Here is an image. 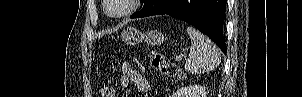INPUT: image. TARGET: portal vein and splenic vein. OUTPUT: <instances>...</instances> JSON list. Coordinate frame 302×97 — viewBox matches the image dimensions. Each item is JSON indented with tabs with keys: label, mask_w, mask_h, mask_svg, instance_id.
Instances as JSON below:
<instances>
[{
	"label": "portal vein and splenic vein",
	"mask_w": 302,
	"mask_h": 97,
	"mask_svg": "<svg viewBox=\"0 0 302 97\" xmlns=\"http://www.w3.org/2000/svg\"><path fill=\"white\" fill-rule=\"evenodd\" d=\"M176 61H181L182 60V57L180 55L176 56Z\"/></svg>",
	"instance_id": "1"
}]
</instances>
